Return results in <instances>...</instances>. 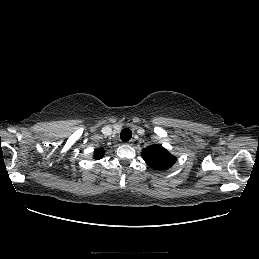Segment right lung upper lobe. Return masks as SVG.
I'll use <instances>...</instances> for the list:
<instances>
[{
    "label": "right lung upper lobe",
    "mask_w": 259,
    "mask_h": 259,
    "mask_svg": "<svg viewBox=\"0 0 259 259\" xmlns=\"http://www.w3.org/2000/svg\"><path fill=\"white\" fill-rule=\"evenodd\" d=\"M104 155L103 149H96L94 152V158L95 159H100Z\"/></svg>",
    "instance_id": "cb5924a9"
}]
</instances>
